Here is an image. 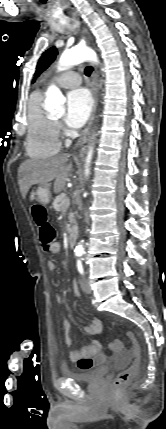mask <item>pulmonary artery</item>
<instances>
[{"label": "pulmonary artery", "mask_w": 166, "mask_h": 429, "mask_svg": "<svg viewBox=\"0 0 166 429\" xmlns=\"http://www.w3.org/2000/svg\"><path fill=\"white\" fill-rule=\"evenodd\" d=\"M56 80L63 87L72 88L81 83V76L73 71H65Z\"/></svg>", "instance_id": "e3ab8cb5"}]
</instances>
